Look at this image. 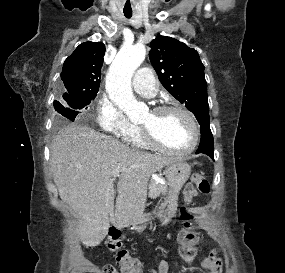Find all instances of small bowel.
Returning a JSON list of instances; mask_svg holds the SVG:
<instances>
[{"mask_svg": "<svg viewBox=\"0 0 285 273\" xmlns=\"http://www.w3.org/2000/svg\"><path fill=\"white\" fill-rule=\"evenodd\" d=\"M190 211V210H189ZM192 217V216H191ZM203 266L207 269V273H221L222 272V260L217 257L216 251H212L207 258L203 261ZM168 264L166 261H157L153 266L146 268L140 273H168ZM192 273H200L197 270Z\"/></svg>", "mask_w": 285, "mask_h": 273, "instance_id": "small-bowel-1", "label": "small bowel"}]
</instances>
